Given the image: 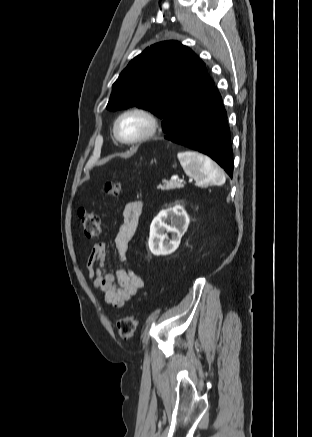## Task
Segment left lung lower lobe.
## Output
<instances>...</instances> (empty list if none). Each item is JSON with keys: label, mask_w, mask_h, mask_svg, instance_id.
Segmentation results:
<instances>
[{"label": "left lung lower lobe", "mask_w": 312, "mask_h": 437, "mask_svg": "<svg viewBox=\"0 0 312 437\" xmlns=\"http://www.w3.org/2000/svg\"><path fill=\"white\" fill-rule=\"evenodd\" d=\"M165 138L208 155L232 177L230 130L216 87L188 114L174 134Z\"/></svg>", "instance_id": "0a47b994"}]
</instances>
